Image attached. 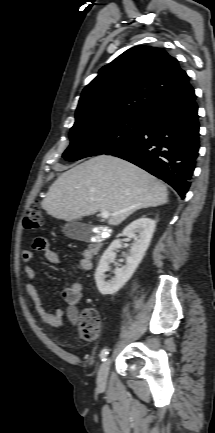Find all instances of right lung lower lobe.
<instances>
[{"label": "right lung lower lobe", "mask_w": 215, "mask_h": 433, "mask_svg": "<svg viewBox=\"0 0 215 433\" xmlns=\"http://www.w3.org/2000/svg\"><path fill=\"white\" fill-rule=\"evenodd\" d=\"M198 106L190 84L143 114L139 134L107 152L127 160L172 186L184 198L199 150Z\"/></svg>", "instance_id": "1"}]
</instances>
